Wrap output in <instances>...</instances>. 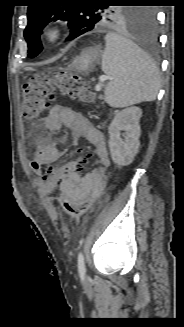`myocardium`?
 Segmentation results:
<instances>
[{"mask_svg": "<svg viewBox=\"0 0 184 327\" xmlns=\"http://www.w3.org/2000/svg\"><path fill=\"white\" fill-rule=\"evenodd\" d=\"M43 39L48 44L58 42L62 36V28L58 24H50L44 27L42 31Z\"/></svg>", "mask_w": 184, "mask_h": 327, "instance_id": "f54148a6", "label": "myocardium"}]
</instances>
